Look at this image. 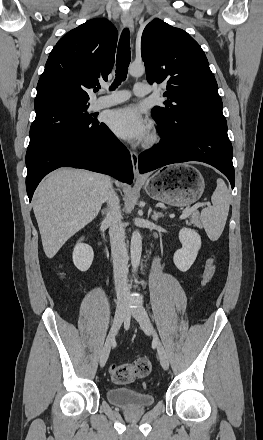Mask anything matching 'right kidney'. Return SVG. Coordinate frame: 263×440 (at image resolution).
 Masks as SVG:
<instances>
[{
	"label": "right kidney",
	"instance_id": "ca27d5eb",
	"mask_svg": "<svg viewBox=\"0 0 263 440\" xmlns=\"http://www.w3.org/2000/svg\"><path fill=\"white\" fill-rule=\"evenodd\" d=\"M93 257L94 252L91 246L81 241L77 242L73 250V263L78 270L82 272L87 271L92 264Z\"/></svg>",
	"mask_w": 263,
	"mask_h": 440
}]
</instances>
